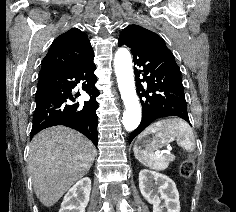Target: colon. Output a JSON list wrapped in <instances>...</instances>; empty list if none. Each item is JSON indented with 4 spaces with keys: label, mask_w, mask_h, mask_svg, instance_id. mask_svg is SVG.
<instances>
[{
    "label": "colon",
    "mask_w": 236,
    "mask_h": 212,
    "mask_svg": "<svg viewBox=\"0 0 236 212\" xmlns=\"http://www.w3.org/2000/svg\"><path fill=\"white\" fill-rule=\"evenodd\" d=\"M195 163L193 159V154L184 160L180 166V174L183 178H190L194 172Z\"/></svg>",
    "instance_id": "1"
}]
</instances>
